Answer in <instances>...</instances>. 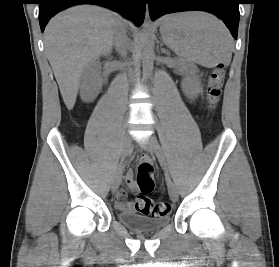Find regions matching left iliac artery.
Returning a JSON list of instances; mask_svg holds the SVG:
<instances>
[{
    "instance_id": "1",
    "label": "left iliac artery",
    "mask_w": 279,
    "mask_h": 267,
    "mask_svg": "<svg viewBox=\"0 0 279 267\" xmlns=\"http://www.w3.org/2000/svg\"><path fill=\"white\" fill-rule=\"evenodd\" d=\"M158 158H159V160L161 161V163L163 165V168H164L165 175H166L167 179L170 180L169 171H168V165L166 163L165 157L162 154V152L158 155Z\"/></svg>"
}]
</instances>
